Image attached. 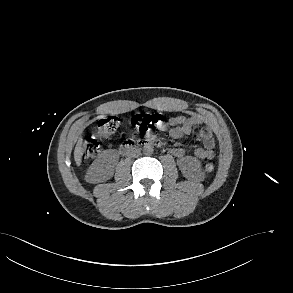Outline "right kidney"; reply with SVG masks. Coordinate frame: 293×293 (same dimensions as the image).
I'll return each mask as SVG.
<instances>
[{"label": "right kidney", "mask_w": 293, "mask_h": 293, "mask_svg": "<svg viewBox=\"0 0 293 293\" xmlns=\"http://www.w3.org/2000/svg\"><path fill=\"white\" fill-rule=\"evenodd\" d=\"M113 175L111 165L103 159H97L89 167L86 173V181L89 183L104 182Z\"/></svg>", "instance_id": "right-kidney-1"}]
</instances>
